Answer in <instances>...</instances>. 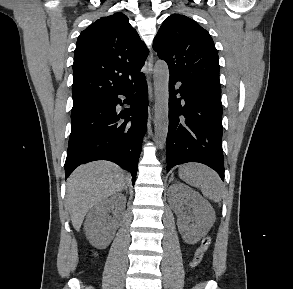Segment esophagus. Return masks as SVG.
<instances>
[{
  "label": "esophagus",
  "mask_w": 293,
  "mask_h": 289,
  "mask_svg": "<svg viewBox=\"0 0 293 289\" xmlns=\"http://www.w3.org/2000/svg\"><path fill=\"white\" fill-rule=\"evenodd\" d=\"M147 68H148V73L151 76L152 72H153V54H152V52H150L149 57H148ZM149 100L153 101V93L151 90L149 93Z\"/></svg>",
  "instance_id": "esophagus-1"
}]
</instances>
